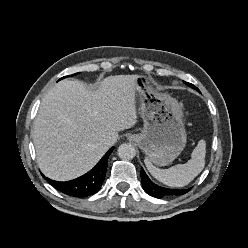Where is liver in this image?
Returning a JSON list of instances; mask_svg holds the SVG:
<instances>
[{
  "instance_id": "6515ba94",
  "label": "liver",
  "mask_w": 248,
  "mask_h": 248,
  "mask_svg": "<svg viewBox=\"0 0 248 248\" xmlns=\"http://www.w3.org/2000/svg\"><path fill=\"white\" fill-rule=\"evenodd\" d=\"M138 75L103 79L97 90L77 80H63L41 101L33 128L41 171L57 181L77 178L92 169L108 150L107 137L137 122Z\"/></svg>"
}]
</instances>
